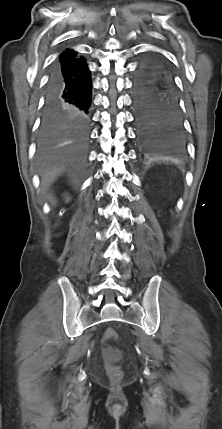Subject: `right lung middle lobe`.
Wrapping results in <instances>:
<instances>
[{
    "label": "right lung middle lobe",
    "mask_w": 222,
    "mask_h": 429,
    "mask_svg": "<svg viewBox=\"0 0 222 429\" xmlns=\"http://www.w3.org/2000/svg\"><path fill=\"white\" fill-rule=\"evenodd\" d=\"M62 135L63 133L59 129L48 128L41 125L40 137H39L40 145L43 147L52 145L53 143L58 141Z\"/></svg>",
    "instance_id": "right-lung-middle-lobe-1"
}]
</instances>
